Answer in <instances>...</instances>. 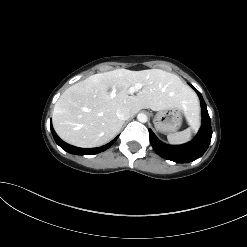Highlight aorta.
Masks as SVG:
<instances>
[{
  "instance_id": "aorta-1",
  "label": "aorta",
  "mask_w": 247,
  "mask_h": 247,
  "mask_svg": "<svg viewBox=\"0 0 247 247\" xmlns=\"http://www.w3.org/2000/svg\"><path fill=\"white\" fill-rule=\"evenodd\" d=\"M137 119H138V121H140V122H142V123H145V122H147L148 117H147V115L144 114V113H139V114L137 115Z\"/></svg>"
}]
</instances>
